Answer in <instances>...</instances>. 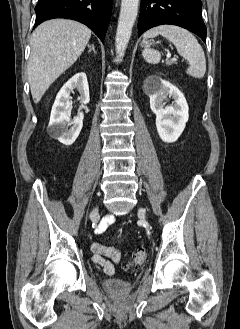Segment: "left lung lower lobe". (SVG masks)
<instances>
[{
	"mask_svg": "<svg viewBox=\"0 0 240 329\" xmlns=\"http://www.w3.org/2000/svg\"><path fill=\"white\" fill-rule=\"evenodd\" d=\"M201 0H142L138 21L139 36L163 24L183 27L206 42L207 30L201 17Z\"/></svg>",
	"mask_w": 240,
	"mask_h": 329,
	"instance_id": "obj_1",
	"label": "left lung lower lobe"
}]
</instances>
